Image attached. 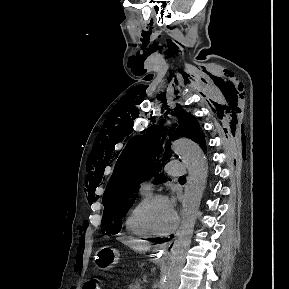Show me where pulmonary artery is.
I'll return each instance as SVG.
<instances>
[{
  "label": "pulmonary artery",
  "instance_id": "pulmonary-artery-1",
  "mask_svg": "<svg viewBox=\"0 0 289 289\" xmlns=\"http://www.w3.org/2000/svg\"><path fill=\"white\" fill-rule=\"evenodd\" d=\"M185 168L181 161H170L165 166V172L172 177H181L184 174ZM141 191L151 193L153 190L152 181H145L141 184Z\"/></svg>",
  "mask_w": 289,
  "mask_h": 289
}]
</instances>
